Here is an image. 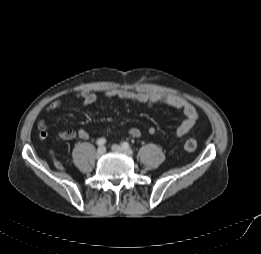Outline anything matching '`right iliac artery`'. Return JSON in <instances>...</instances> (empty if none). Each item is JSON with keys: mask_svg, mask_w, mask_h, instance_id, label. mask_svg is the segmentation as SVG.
<instances>
[{"mask_svg": "<svg viewBox=\"0 0 261 254\" xmlns=\"http://www.w3.org/2000/svg\"><path fill=\"white\" fill-rule=\"evenodd\" d=\"M106 143V139L105 138H100L97 140V145L98 146H103Z\"/></svg>", "mask_w": 261, "mask_h": 254, "instance_id": "1", "label": "right iliac artery"}]
</instances>
